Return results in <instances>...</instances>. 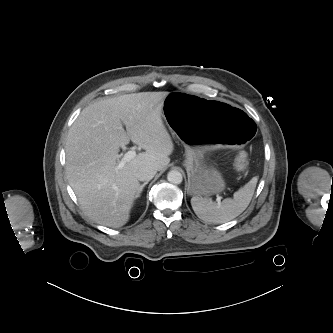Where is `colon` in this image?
Returning a JSON list of instances; mask_svg holds the SVG:
<instances>
[{"mask_svg":"<svg viewBox=\"0 0 333 333\" xmlns=\"http://www.w3.org/2000/svg\"><path fill=\"white\" fill-rule=\"evenodd\" d=\"M247 164V156L245 153L241 152L239 153L237 157V165L239 168H244Z\"/></svg>","mask_w":333,"mask_h":333,"instance_id":"5ec220e1","label":"colon"}]
</instances>
